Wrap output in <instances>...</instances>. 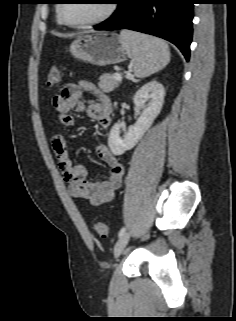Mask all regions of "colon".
I'll use <instances>...</instances> for the list:
<instances>
[{"label": "colon", "instance_id": "1", "mask_svg": "<svg viewBox=\"0 0 236 321\" xmlns=\"http://www.w3.org/2000/svg\"><path fill=\"white\" fill-rule=\"evenodd\" d=\"M60 70L58 67L54 66L49 71L46 78L47 87L51 88L56 86L60 81ZM93 230L101 237H106L108 234L107 225L102 221H96L93 223Z\"/></svg>", "mask_w": 236, "mask_h": 321}]
</instances>
